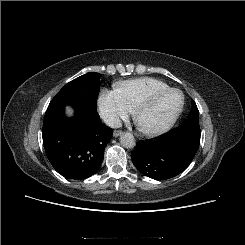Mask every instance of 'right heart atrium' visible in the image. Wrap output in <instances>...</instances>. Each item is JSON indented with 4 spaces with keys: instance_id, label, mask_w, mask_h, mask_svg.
<instances>
[{
    "instance_id": "right-heart-atrium-1",
    "label": "right heart atrium",
    "mask_w": 245,
    "mask_h": 245,
    "mask_svg": "<svg viewBox=\"0 0 245 245\" xmlns=\"http://www.w3.org/2000/svg\"><path fill=\"white\" fill-rule=\"evenodd\" d=\"M99 113L110 126H117L121 120L128 118L131 108L115 90L103 89L98 99Z\"/></svg>"
}]
</instances>
